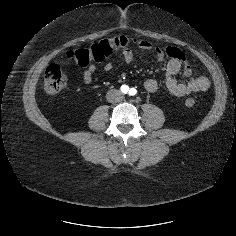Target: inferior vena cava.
<instances>
[{
	"mask_svg": "<svg viewBox=\"0 0 236 236\" xmlns=\"http://www.w3.org/2000/svg\"><path fill=\"white\" fill-rule=\"evenodd\" d=\"M123 99V94L119 90H110L107 93V100L109 102H120Z\"/></svg>",
	"mask_w": 236,
	"mask_h": 236,
	"instance_id": "1",
	"label": "inferior vena cava"
}]
</instances>
